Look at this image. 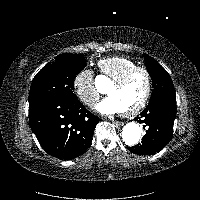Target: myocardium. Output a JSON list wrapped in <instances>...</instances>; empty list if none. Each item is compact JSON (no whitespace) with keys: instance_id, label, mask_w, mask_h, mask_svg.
Returning <instances> with one entry per match:
<instances>
[{"instance_id":"1","label":"myocardium","mask_w":200,"mask_h":200,"mask_svg":"<svg viewBox=\"0 0 200 200\" xmlns=\"http://www.w3.org/2000/svg\"><path fill=\"white\" fill-rule=\"evenodd\" d=\"M137 73H143L145 75L146 82H147L146 91H145L143 98L141 99V101L137 105H135L131 109H128V110L121 112L122 115L126 116V117L139 113L147 105V103H148V101L151 97V93H152V77H151V74L146 68L136 67V68L131 69L130 71L126 72L124 75H122L120 78H118L117 80L112 82L111 85H110L111 88L122 87L130 78H132Z\"/></svg>"}]
</instances>
